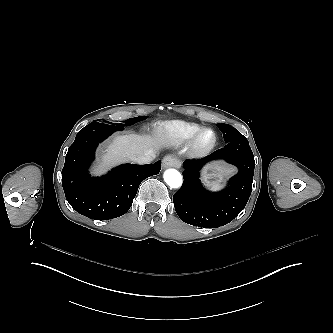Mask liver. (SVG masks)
<instances>
[{
	"label": "liver",
	"instance_id": "liver-1",
	"mask_svg": "<svg viewBox=\"0 0 333 333\" xmlns=\"http://www.w3.org/2000/svg\"><path fill=\"white\" fill-rule=\"evenodd\" d=\"M167 142V135L163 130H154L153 135H115L101 150V161L91 170L93 175L105 173L111 166L122 162H135L137 156L148 150L158 151Z\"/></svg>",
	"mask_w": 333,
	"mask_h": 333
}]
</instances>
